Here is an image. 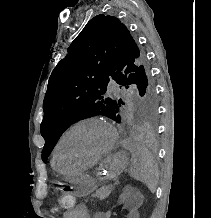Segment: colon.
I'll use <instances>...</instances> for the list:
<instances>
[{
    "mask_svg": "<svg viewBox=\"0 0 211 218\" xmlns=\"http://www.w3.org/2000/svg\"><path fill=\"white\" fill-rule=\"evenodd\" d=\"M58 202L64 209H73L76 206L75 197L67 190L59 196Z\"/></svg>",
    "mask_w": 211,
    "mask_h": 218,
    "instance_id": "1",
    "label": "colon"
}]
</instances>
